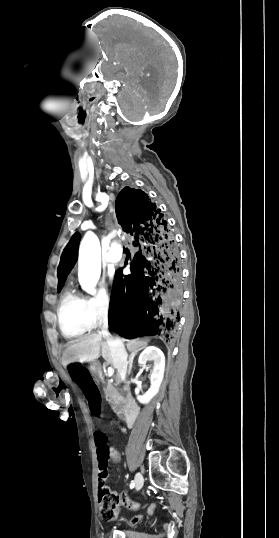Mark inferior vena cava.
I'll list each match as a JSON object with an SVG mask.
<instances>
[{
	"label": "inferior vena cava",
	"instance_id": "obj_1",
	"mask_svg": "<svg viewBox=\"0 0 279 538\" xmlns=\"http://www.w3.org/2000/svg\"><path fill=\"white\" fill-rule=\"evenodd\" d=\"M99 327L102 329L100 332L104 333V338L108 343L109 349L111 350V356L113 358V365L118 369L119 376L124 380L127 365L130 361H127L128 354L125 352L123 339L120 338V335H111L108 331V320H107V310L101 312L99 316ZM103 323V324H102Z\"/></svg>",
	"mask_w": 279,
	"mask_h": 538
}]
</instances>
